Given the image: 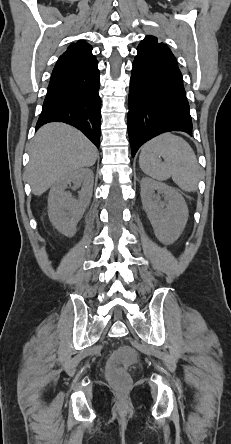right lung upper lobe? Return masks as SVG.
<instances>
[{"label": "right lung upper lobe", "instance_id": "right-lung-upper-lobe-1", "mask_svg": "<svg viewBox=\"0 0 231 444\" xmlns=\"http://www.w3.org/2000/svg\"><path fill=\"white\" fill-rule=\"evenodd\" d=\"M97 60L92 54V47L83 40L71 44L58 59L51 78L87 71L96 66Z\"/></svg>", "mask_w": 231, "mask_h": 444}]
</instances>
